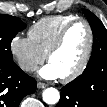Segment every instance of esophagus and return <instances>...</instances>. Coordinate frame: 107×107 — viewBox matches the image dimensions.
I'll return each mask as SVG.
<instances>
[{
	"label": "esophagus",
	"mask_w": 107,
	"mask_h": 107,
	"mask_svg": "<svg viewBox=\"0 0 107 107\" xmlns=\"http://www.w3.org/2000/svg\"><path fill=\"white\" fill-rule=\"evenodd\" d=\"M47 86H48V85L45 84V83H43V82H38V83H37V87H38L39 89L46 88Z\"/></svg>",
	"instance_id": "obj_1"
}]
</instances>
